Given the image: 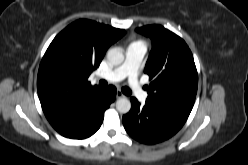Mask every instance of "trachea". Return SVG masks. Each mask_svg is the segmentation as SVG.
Instances as JSON below:
<instances>
[{
    "instance_id": "1",
    "label": "trachea",
    "mask_w": 248,
    "mask_h": 165,
    "mask_svg": "<svg viewBox=\"0 0 248 165\" xmlns=\"http://www.w3.org/2000/svg\"><path fill=\"white\" fill-rule=\"evenodd\" d=\"M99 85L101 86V87H106L107 86V82L105 81V80H101L100 82H99ZM122 92L125 94V95H130L132 92H131V90L128 88V87H123L122 88Z\"/></svg>"
}]
</instances>
